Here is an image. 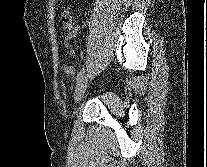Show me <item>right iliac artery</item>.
<instances>
[{"instance_id": "82829eb1", "label": "right iliac artery", "mask_w": 207, "mask_h": 167, "mask_svg": "<svg viewBox=\"0 0 207 167\" xmlns=\"http://www.w3.org/2000/svg\"><path fill=\"white\" fill-rule=\"evenodd\" d=\"M84 73H85V69L82 68V69L80 70V72L78 73L77 78H76V83H77V85H78V84L81 82V80L83 79Z\"/></svg>"}]
</instances>
